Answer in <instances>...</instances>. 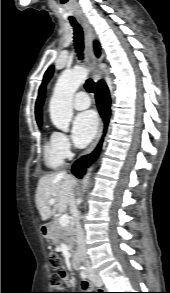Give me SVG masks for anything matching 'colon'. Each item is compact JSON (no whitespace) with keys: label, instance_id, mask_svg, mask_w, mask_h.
I'll return each instance as SVG.
<instances>
[{"label":"colon","instance_id":"obj_1","mask_svg":"<svg viewBox=\"0 0 170 293\" xmlns=\"http://www.w3.org/2000/svg\"><path fill=\"white\" fill-rule=\"evenodd\" d=\"M50 263L54 268V272L50 277V284L53 292L49 293H62L59 291H61L64 285L68 282L67 273L61 268L60 260L56 255L50 257Z\"/></svg>","mask_w":170,"mask_h":293}]
</instances>
